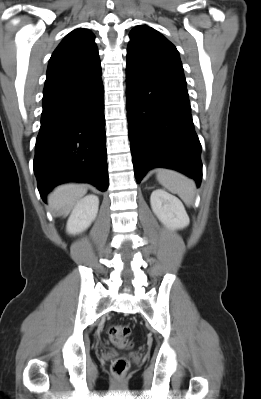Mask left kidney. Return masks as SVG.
Returning a JSON list of instances; mask_svg holds the SVG:
<instances>
[{
  "label": "left kidney",
  "mask_w": 261,
  "mask_h": 399,
  "mask_svg": "<svg viewBox=\"0 0 261 399\" xmlns=\"http://www.w3.org/2000/svg\"><path fill=\"white\" fill-rule=\"evenodd\" d=\"M150 204L154 214L167 228L172 230L183 229L190 223L184 205L170 193L157 189L150 197Z\"/></svg>",
  "instance_id": "left-kidney-1"
}]
</instances>
